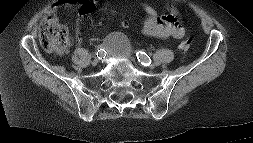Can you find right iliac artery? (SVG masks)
Returning a JSON list of instances; mask_svg holds the SVG:
<instances>
[{"instance_id":"1","label":"right iliac artery","mask_w":253,"mask_h":143,"mask_svg":"<svg viewBox=\"0 0 253 143\" xmlns=\"http://www.w3.org/2000/svg\"><path fill=\"white\" fill-rule=\"evenodd\" d=\"M103 51L105 52L104 48L101 47V48L98 50V52H97V57H98V53H99V54H100V53H103Z\"/></svg>"}]
</instances>
